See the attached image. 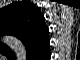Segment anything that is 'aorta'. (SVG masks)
Listing matches in <instances>:
<instances>
[{
    "label": "aorta",
    "instance_id": "obj_1",
    "mask_svg": "<svg viewBox=\"0 0 80 60\" xmlns=\"http://www.w3.org/2000/svg\"><path fill=\"white\" fill-rule=\"evenodd\" d=\"M5 42L16 54L25 53V47L19 39L9 36L5 38Z\"/></svg>",
    "mask_w": 80,
    "mask_h": 60
}]
</instances>
